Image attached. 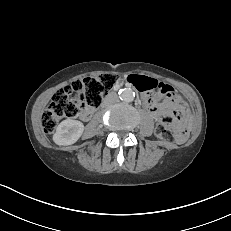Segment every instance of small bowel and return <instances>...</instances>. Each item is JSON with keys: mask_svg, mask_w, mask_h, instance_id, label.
I'll return each mask as SVG.
<instances>
[{"mask_svg": "<svg viewBox=\"0 0 231 231\" xmlns=\"http://www.w3.org/2000/svg\"><path fill=\"white\" fill-rule=\"evenodd\" d=\"M138 77L146 79L149 82L150 86L152 85L157 86L158 84H160L156 79L152 77H147V76H138ZM143 96L148 99L150 112L156 120H160L163 116H167L171 114L177 106L180 105L184 106L180 97L173 90L169 94L168 99L163 104H159L156 101H154L152 98L149 97L147 93H144ZM85 116L86 113L82 115L83 118Z\"/></svg>", "mask_w": 231, "mask_h": 231, "instance_id": "small-bowel-1", "label": "small bowel"}]
</instances>
